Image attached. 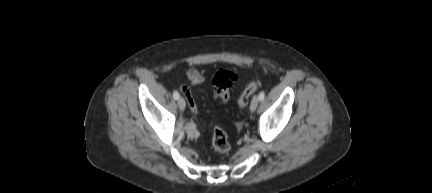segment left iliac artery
<instances>
[{"label": "left iliac artery", "mask_w": 432, "mask_h": 193, "mask_svg": "<svg viewBox=\"0 0 432 193\" xmlns=\"http://www.w3.org/2000/svg\"><path fill=\"white\" fill-rule=\"evenodd\" d=\"M259 100H263L264 99V97H265V93H264V91H261L260 93H259Z\"/></svg>", "instance_id": "44dca946"}]
</instances>
